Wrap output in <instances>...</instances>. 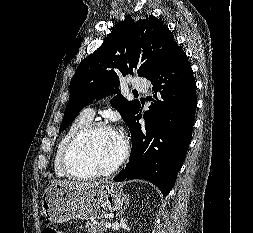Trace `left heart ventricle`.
<instances>
[{"label":"left heart ventricle","mask_w":253,"mask_h":233,"mask_svg":"<svg viewBox=\"0 0 253 233\" xmlns=\"http://www.w3.org/2000/svg\"><path fill=\"white\" fill-rule=\"evenodd\" d=\"M122 149L119 134L112 130L96 131L83 139L75 148L71 163L80 173L109 168Z\"/></svg>","instance_id":"1"}]
</instances>
